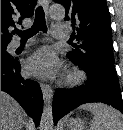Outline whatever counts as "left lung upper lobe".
<instances>
[{
    "label": "left lung upper lobe",
    "instance_id": "5c2ea615",
    "mask_svg": "<svg viewBox=\"0 0 123 130\" xmlns=\"http://www.w3.org/2000/svg\"><path fill=\"white\" fill-rule=\"evenodd\" d=\"M66 8L65 20L78 40L67 57L74 63L116 73L111 36L110 13L106 0H55ZM76 30V33H75Z\"/></svg>",
    "mask_w": 123,
    "mask_h": 130
}]
</instances>
